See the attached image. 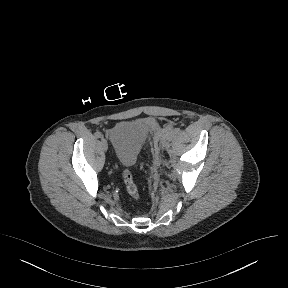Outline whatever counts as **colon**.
<instances>
[{
    "mask_svg": "<svg viewBox=\"0 0 288 288\" xmlns=\"http://www.w3.org/2000/svg\"><path fill=\"white\" fill-rule=\"evenodd\" d=\"M123 180H124V184L126 186L128 194L134 199H139L140 197L139 190H138L137 185L135 184L133 175L130 171L125 170L123 172Z\"/></svg>",
    "mask_w": 288,
    "mask_h": 288,
    "instance_id": "1",
    "label": "colon"
}]
</instances>
